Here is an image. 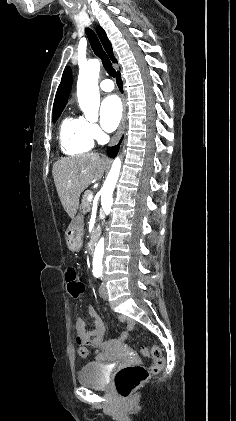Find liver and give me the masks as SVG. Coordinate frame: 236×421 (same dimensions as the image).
<instances>
[{"mask_svg":"<svg viewBox=\"0 0 236 421\" xmlns=\"http://www.w3.org/2000/svg\"><path fill=\"white\" fill-rule=\"evenodd\" d=\"M108 160L97 152H85L77 156H65L53 164L52 174L58 196L71 219H75L79 196L93 178H101Z\"/></svg>","mask_w":236,"mask_h":421,"instance_id":"obj_1","label":"liver"}]
</instances>
